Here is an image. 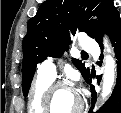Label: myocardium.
<instances>
[{
  "label": "myocardium",
  "instance_id": "obj_1",
  "mask_svg": "<svg viewBox=\"0 0 121 113\" xmlns=\"http://www.w3.org/2000/svg\"><path fill=\"white\" fill-rule=\"evenodd\" d=\"M63 88L72 90L77 95V98H78L77 107L73 109L72 111H70V113H77L84 109V102L80 93L67 82L57 81V82L52 83L45 91L44 105H45V110H48V112L46 113H52V110L55 104L54 95L58 90L63 89Z\"/></svg>",
  "mask_w": 121,
  "mask_h": 113
}]
</instances>
